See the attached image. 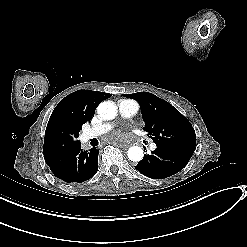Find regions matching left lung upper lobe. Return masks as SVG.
Instances as JSON below:
<instances>
[{
    "label": "left lung upper lobe",
    "instance_id": "5c2ea615",
    "mask_svg": "<svg viewBox=\"0 0 247 247\" xmlns=\"http://www.w3.org/2000/svg\"><path fill=\"white\" fill-rule=\"evenodd\" d=\"M139 102L145 130L158 147H173L193 154L196 135L191 123L167 101L149 92L123 94Z\"/></svg>",
    "mask_w": 247,
    "mask_h": 247
}]
</instances>
